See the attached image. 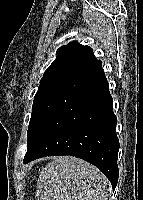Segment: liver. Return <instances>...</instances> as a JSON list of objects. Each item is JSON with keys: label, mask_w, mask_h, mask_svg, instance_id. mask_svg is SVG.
Returning a JSON list of instances; mask_svg holds the SVG:
<instances>
[{"label": "liver", "mask_w": 143, "mask_h": 200, "mask_svg": "<svg viewBox=\"0 0 143 200\" xmlns=\"http://www.w3.org/2000/svg\"><path fill=\"white\" fill-rule=\"evenodd\" d=\"M110 182L90 163L60 156L40 172L36 200H107Z\"/></svg>", "instance_id": "obj_1"}]
</instances>
